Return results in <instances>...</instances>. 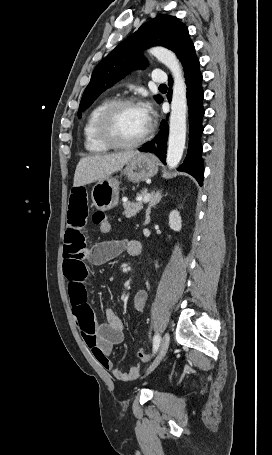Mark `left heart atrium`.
I'll return each instance as SVG.
<instances>
[{
  "label": "left heart atrium",
  "mask_w": 272,
  "mask_h": 455,
  "mask_svg": "<svg viewBox=\"0 0 272 455\" xmlns=\"http://www.w3.org/2000/svg\"><path fill=\"white\" fill-rule=\"evenodd\" d=\"M139 108L142 113L143 119L148 126L151 121V113H152L151 106L148 103H143L139 106Z\"/></svg>",
  "instance_id": "obj_1"
}]
</instances>
